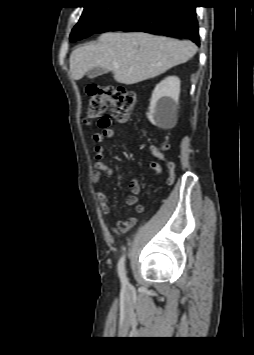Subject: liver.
Listing matches in <instances>:
<instances>
[{
	"mask_svg": "<svg viewBox=\"0 0 254 355\" xmlns=\"http://www.w3.org/2000/svg\"><path fill=\"white\" fill-rule=\"evenodd\" d=\"M197 52L191 41H179L147 33L108 32L96 43L75 49L69 58L70 72L80 80L94 67L113 72L118 83L131 85L154 78L185 63Z\"/></svg>",
	"mask_w": 254,
	"mask_h": 355,
	"instance_id": "1",
	"label": "liver"
}]
</instances>
